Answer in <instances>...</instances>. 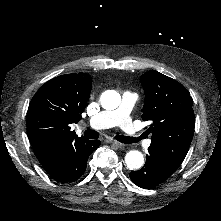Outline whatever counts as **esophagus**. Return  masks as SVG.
Segmentation results:
<instances>
[{
	"mask_svg": "<svg viewBox=\"0 0 221 221\" xmlns=\"http://www.w3.org/2000/svg\"><path fill=\"white\" fill-rule=\"evenodd\" d=\"M106 142H108V143H110V144H112V145H114V146H116V147H122V146H123L122 143L117 142V141L112 140V139H106Z\"/></svg>",
	"mask_w": 221,
	"mask_h": 221,
	"instance_id": "1",
	"label": "esophagus"
}]
</instances>
